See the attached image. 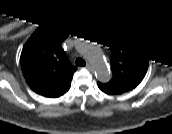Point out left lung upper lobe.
Listing matches in <instances>:
<instances>
[{
	"label": "left lung upper lobe",
	"mask_w": 172,
	"mask_h": 134,
	"mask_svg": "<svg viewBox=\"0 0 172 134\" xmlns=\"http://www.w3.org/2000/svg\"><path fill=\"white\" fill-rule=\"evenodd\" d=\"M111 52L112 79L98 82L100 90L107 94H122L134 89L143 79L148 68V54L134 39L120 32L105 37Z\"/></svg>",
	"instance_id": "left-lung-upper-lobe-1"
}]
</instances>
